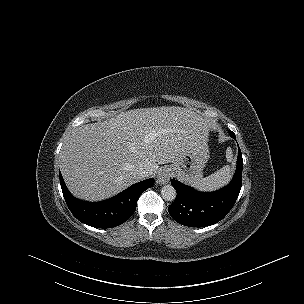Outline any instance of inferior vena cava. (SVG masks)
<instances>
[{
  "mask_svg": "<svg viewBox=\"0 0 304 304\" xmlns=\"http://www.w3.org/2000/svg\"><path fill=\"white\" fill-rule=\"evenodd\" d=\"M135 175L137 176L138 180H143L145 178H149L151 174L145 168L139 167L135 170Z\"/></svg>",
  "mask_w": 304,
  "mask_h": 304,
  "instance_id": "602c4592",
  "label": "inferior vena cava"
}]
</instances>
